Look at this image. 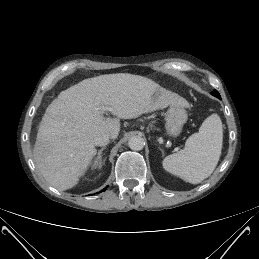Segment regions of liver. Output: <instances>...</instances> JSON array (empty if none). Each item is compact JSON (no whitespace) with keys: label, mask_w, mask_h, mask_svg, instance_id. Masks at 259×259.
I'll return each mask as SVG.
<instances>
[{"label":"liver","mask_w":259,"mask_h":259,"mask_svg":"<svg viewBox=\"0 0 259 259\" xmlns=\"http://www.w3.org/2000/svg\"><path fill=\"white\" fill-rule=\"evenodd\" d=\"M177 105L186 99L151 79L128 73L88 78L62 91L40 122L33 156L45 180L59 191L73 188L97 153L94 138L108 132L116 139L120 119ZM108 107L115 118L104 117Z\"/></svg>","instance_id":"6515ba94"}]
</instances>
